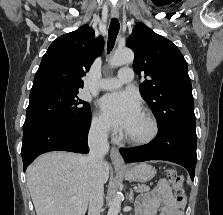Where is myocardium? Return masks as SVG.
<instances>
[{
  "mask_svg": "<svg viewBox=\"0 0 223 215\" xmlns=\"http://www.w3.org/2000/svg\"><path fill=\"white\" fill-rule=\"evenodd\" d=\"M140 112L149 125L148 133L141 137L128 135L126 133L119 134L116 136V141L118 143L141 147V146H146L154 141V139L158 134L157 121L149 111L141 110Z\"/></svg>",
  "mask_w": 223,
  "mask_h": 215,
  "instance_id": "f54148a6",
  "label": "myocardium"
}]
</instances>
